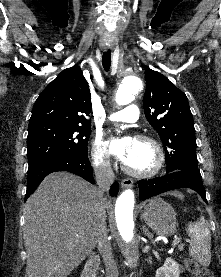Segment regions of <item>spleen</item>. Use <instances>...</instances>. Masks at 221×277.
I'll use <instances>...</instances> for the list:
<instances>
[{"instance_id": "spleen-1", "label": "spleen", "mask_w": 221, "mask_h": 277, "mask_svg": "<svg viewBox=\"0 0 221 277\" xmlns=\"http://www.w3.org/2000/svg\"><path fill=\"white\" fill-rule=\"evenodd\" d=\"M186 229L191 237L189 254L203 266H208L211 260V237L207 221L201 217L198 222L189 223Z\"/></svg>"}]
</instances>
